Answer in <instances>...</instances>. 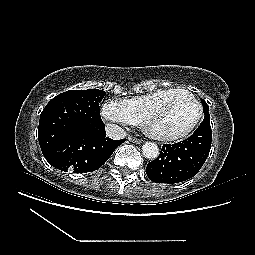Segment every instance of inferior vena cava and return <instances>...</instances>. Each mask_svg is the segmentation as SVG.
<instances>
[{
  "label": "inferior vena cava",
  "instance_id": "602c4592",
  "mask_svg": "<svg viewBox=\"0 0 255 255\" xmlns=\"http://www.w3.org/2000/svg\"><path fill=\"white\" fill-rule=\"evenodd\" d=\"M106 134L114 140L124 139L127 136L126 131L116 124H108L106 126Z\"/></svg>",
  "mask_w": 255,
  "mask_h": 255
}]
</instances>
